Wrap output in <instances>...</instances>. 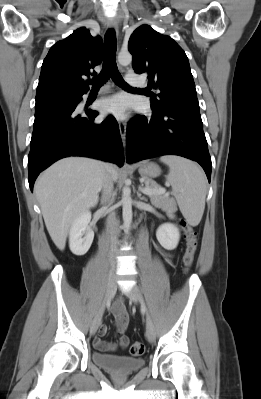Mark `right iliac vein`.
<instances>
[{
    "mask_svg": "<svg viewBox=\"0 0 261 399\" xmlns=\"http://www.w3.org/2000/svg\"><path fill=\"white\" fill-rule=\"evenodd\" d=\"M116 279L114 275H109L108 280H107V285H106V295H105V300L99 309V311L96 313L95 317L93 318L91 325H90V333L95 334L100 323L102 320V315L104 311V305L107 301H109L115 294L116 292Z\"/></svg>",
    "mask_w": 261,
    "mask_h": 399,
    "instance_id": "right-iliac-vein-1",
    "label": "right iliac vein"
}]
</instances>
